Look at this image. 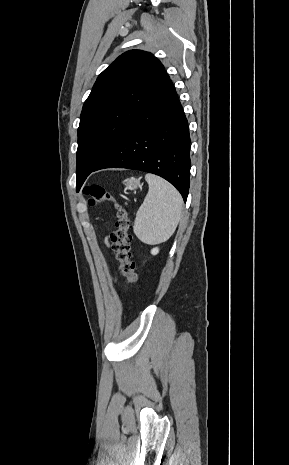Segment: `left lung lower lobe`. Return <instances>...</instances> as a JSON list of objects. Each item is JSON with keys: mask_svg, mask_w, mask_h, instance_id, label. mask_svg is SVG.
<instances>
[{"mask_svg": "<svg viewBox=\"0 0 289 465\" xmlns=\"http://www.w3.org/2000/svg\"><path fill=\"white\" fill-rule=\"evenodd\" d=\"M189 153L187 119L169 79L91 172L118 167L154 173L173 184L186 202L190 185Z\"/></svg>", "mask_w": 289, "mask_h": 465, "instance_id": "obj_1", "label": "left lung lower lobe"}]
</instances>
